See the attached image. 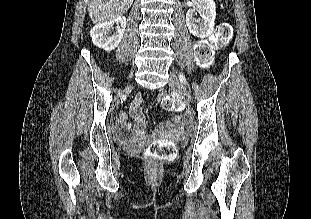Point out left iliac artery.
Here are the masks:
<instances>
[{
  "label": "left iliac artery",
  "mask_w": 311,
  "mask_h": 219,
  "mask_svg": "<svg viewBox=\"0 0 311 219\" xmlns=\"http://www.w3.org/2000/svg\"><path fill=\"white\" fill-rule=\"evenodd\" d=\"M179 78H180L181 82L187 83L185 77L182 74L179 75Z\"/></svg>",
  "instance_id": "obj_1"
}]
</instances>
